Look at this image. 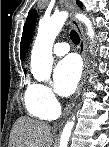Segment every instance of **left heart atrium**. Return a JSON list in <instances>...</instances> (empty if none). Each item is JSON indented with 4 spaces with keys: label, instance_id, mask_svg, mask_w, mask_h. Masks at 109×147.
<instances>
[{
    "label": "left heart atrium",
    "instance_id": "39dd6f15",
    "mask_svg": "<svg viewBox=\"0 0 109 147\" xmlns=\"http://www.w3.org/2000/svg\"><path fill=\"white\" fill-rule=\"evenodd\" d=\"M80 62L74 55L61 60L54 70L55 91L61 96H69L75 90L80 78Z\"/></svg>",
    "mask_w": 109,
    "mask_h": 147
}]
</instances>
